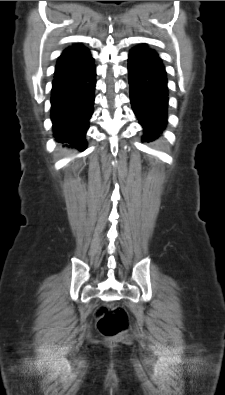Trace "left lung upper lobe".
Wrapping results in <instances>:
<instances>
[{
    "instance_id": "1",
    "label": "left lung upper lobe",
    "mask_w": 225,
    "mask_h": 395,
    "mask_svg": "<svg viewBox=\"0 0 225 395\" xmlns=\"http://www.w3.org/2000/svg\"><path fill=\"white\" fill-rule=\"evenodd\" d=\"M131 52L138 57L160 58L158 53L149 48L147 44H140L131 49Z\"/></svg>"
}]
</instances>
